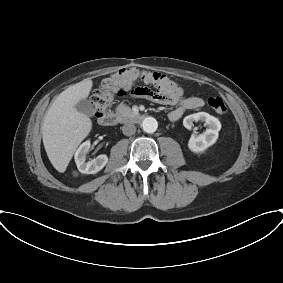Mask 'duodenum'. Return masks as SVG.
<instances>
[{"label": "duodenum", "mask_w": 283, "mask_h": 283, "mask_svg": "<svg viewBox=\"0 0 283 283\" xmlns=\"http://www.w3.org/2000/svg\"><path fill=\"white\" fill-rule=\"evenodd\" d=\"M128 122L141 123L145 119V115L139 112H134L125 117ZM118 116L114 112H106L98 116V122L105 127H111L118 123Z\"/></svg>", "instance_id": "1"}]
</instances>
